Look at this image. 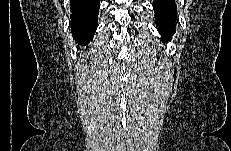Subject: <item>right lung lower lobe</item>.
<instances>
[{
    "mask_svg": "<svg viewBox=\"0 0 231 151\" xmlns=\"http://www.w3.org/2000/svg\"><path fill=\"white\" fill-rule=\"evenodd\" d=\"M71 32L76 43L84 46L92 40L98 25L99 0H71Z\"/></svg>",
    "mask_w": 231,
    "mask_h": 151,
    "instance_id": "1",
    "label": "right lung lower lobe"
}]
</instances>
